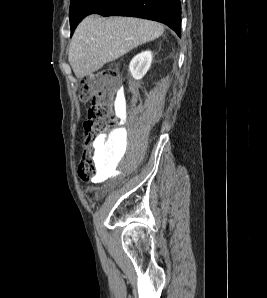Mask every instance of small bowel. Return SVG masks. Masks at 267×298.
<instances>
[{
  "instance_id": "obj_1",
  "label": "small bowel",
  "mask_w": 267,
  "mask_h": 298,
  "mask_svg": "<svg viewBox=\"0 0 267 298\" xmlns=\"http://www.w3.org/2000/svg\"><path fill=\"white\" fill-rule=\"evenodd\" d=\"M113 136V132H110L107 136L106 139L109 141Z\"/></svg>"
}]
</instances>
